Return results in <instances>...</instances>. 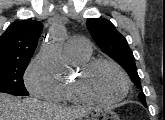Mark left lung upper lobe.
<instances>
[{
	"label": "left lung upper lobe",
	"mask_w": 165,
	"mask_h": 120,
	"mask_svg": "<svg viewBox=\"0 0 165 120\" xmlns=\"http://www.w3.org/2000/svg\"><path fill=\"white\" fill-rule=\"evenodd\" d=\"M88 30L101 50L118 62L129 74L132 82L141 89L135 59L127 40L116 30L107 19L90 18L87 20ZM138 98L147 107L145 95L140 92Z\"/></svg>",
	"instance_id": "1"
}]
</instances>
